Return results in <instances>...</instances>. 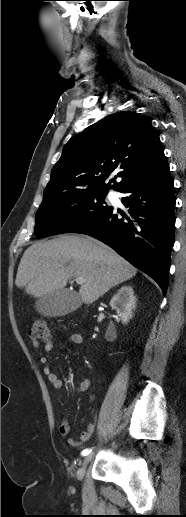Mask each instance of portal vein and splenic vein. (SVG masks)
<instances>
[{"label": "portal vein and splenic vein", "instance_id": "18ae733b", "mask_svg": "<svg viewBox=\"0 0 186 517\" xmlns=\"http://www.w3.org/2000/svg\"><path fill=\"white\" fill-rule=\"evenodd\" d=\"M75 281L77 284L82 285L83 283H85L86 280L83 277H77Z\"/></svg>", "mask_w": 186, "mask_h": 517}]
</instances>
